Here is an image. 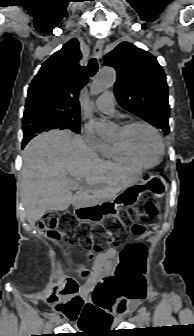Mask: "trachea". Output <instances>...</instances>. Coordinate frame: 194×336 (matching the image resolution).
Returning <instances> with one entry per match:
<instances>
[{
  "instance_id": "3493384b",
  "label": "trachea",
  "mask_w": 194,
  "mask_h": 336,
  "mask_svg": "<svg viewBox=\"0 0 194 336\" xmlns=\"http://www.w3.org/2000/svg\"><path fill=\"white\" fill-rule=\"evenodd\" d=\"M98 71V64L95 58H91L88 64V73L90 76H94Z\"/></svg>"
}]
</instances>
